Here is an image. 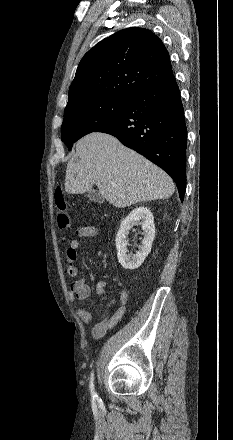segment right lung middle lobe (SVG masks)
Listing matches in <instances>:
<instances>
[{
    "mask_svg": "<svg viewBox=\"0 0 233 440\" xmlns=\"http://www.w3.org/2000/svg\"><path fill=\"white\" fill-rule=\"evenodd\" d=\"M128 101L129 99L95 97L67 105L61 126L62 141L71 150L78 139L117 118Z\"/></svg>",
    "mask_w": 233,
    "mask_h": 440,
    "instance_id": "obj_1",
    "label": "right lung middle lobe"
}]
</instances>
